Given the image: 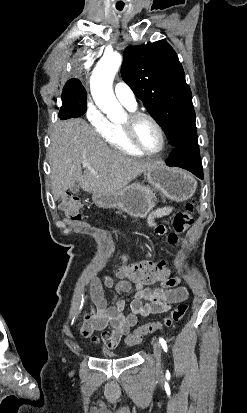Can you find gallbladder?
I'll use <instances>...</instances> for the list:
<instances>
[{"mask_svg": "<svg viewBox=\"0 0 247 413\" xmlns=\"http://www.w3.org/2000/svg\"><path fill=\"white\" fill-rule=\"evenodd\" d=\"M71 192H79V186L77 184H73V186H70Z\"/></svg>", "mask_w": 247, "mask_h": 413, "instance_id": "bac80fb5", "label": "gallbladder"}]
</instances>
